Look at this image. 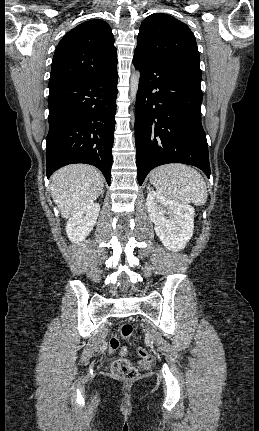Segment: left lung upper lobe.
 Instances as JSON below:
<instances>
[{
  "label": "left lung upper lobe",
  "mask_w": 259,
  "mask_h": 431,
  "mask_svg": "<svg viewBox=\"0 0 259 431\" xmlns=\"http://www.w3.org/2000/svg\"><path fill=\"white\" fill-rule=\"evenodd\" d=\"M135 52L185 75L202 78L194 34L185 23L170 15L154 13L144 19Z\"/></svg>",
  "instance_id": "1"
}]
</instances>
